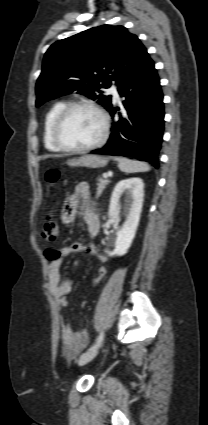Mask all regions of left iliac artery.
Listing matches in <instances>:
<instances>
[{
	"label": "left iliac artery",
	"mask_w": 208,
	"mask_h": 425,
	"mask_svg": "<svg viewBox=\"0 0 208 425\" xmlns=\"http://www.w3.org/2000/svg\"><path fill=\"white\" fill-rule=\"evenodd\" d=\"M103 338H104V333L101 332L99 336L97 337L96 342L94 343L93 346L90 347L89 350L99 347L103 341Z\"/></svg>",
	"instance_id": "44dca946"
}]
</instances>
